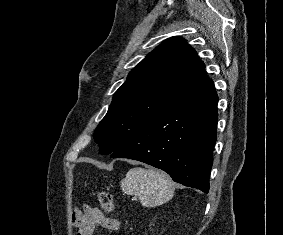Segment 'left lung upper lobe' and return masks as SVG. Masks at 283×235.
I'll return each mask as SVG.
<instances>
[{"instance_id":"5c2ea615","label":"left lung upper lobe","mask_w":283,"mask_h":235,"mask_svg":"<svg viewBox=\"0 0 283 235\" xmlns=\"http://www.w3.org/2000/svg\"><path fill=\"white\" fill-rule=\"evenodd\" d=\"M209 81L205 65L186 40L173 37L150 52L115 92L94 132L111 154L146 125Z\"/></svg>"}]
</instances>
